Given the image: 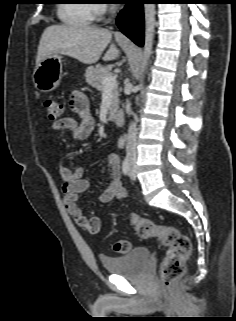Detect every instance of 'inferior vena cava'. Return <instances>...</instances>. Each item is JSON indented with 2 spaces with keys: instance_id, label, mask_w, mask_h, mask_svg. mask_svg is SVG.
Masks as SVG:
<instances>
[{
  "instance_id": "602c4592",
  "label": "inferior vena cava",
  "mask_w": 236,
  "mask_h": 321,
  "mask_svg": "<svg viewBox=\"0 0 236 321\" xmlns=\"http://www.w3.org/2000/svg\"><path fill=\"white\" fill-rule=\"evenodd\" d=\"M126 152L129 157H136V126L133 122L128 128Z\"/></svg>"
}]
</instances>
